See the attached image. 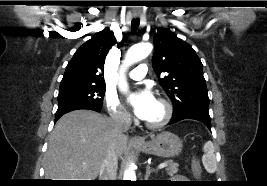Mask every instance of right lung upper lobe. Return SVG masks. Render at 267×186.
<instances>
[{
    "instance_id": "1",
    "label": "right lung upper lobe",
    "mask_w": 267,
    "mask_h": 186,
    "mask_svg": "<svg viewBox=\"0 0 267 186\" xmlns=\"http://www.w3.org/2000/svg\"><path fill=\"white\" fill-rule=\"evenodd\" d=\"M115 43V36L108 28L96 33L75 52L67 65L60 86L105 85L103 77L105 58ZM120 45L122 42L118 47Z\"/></svg>"
}]
</instances>
